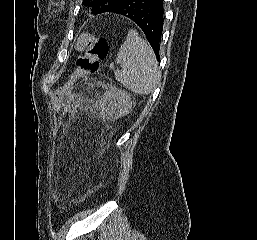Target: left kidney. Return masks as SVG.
<instances>
[{
    "label": "left kidney",
    "instance_id": "5707ae66",
    "mask_svg": "<svg viewBox=\"0 0 257 240\" xmlns=\"http://www.w3.org/2000/svg\"><path fill=\"white\" fill-rule=\"evenodd\" d=\"M103 102L105 106L103 109H105L106 112L111 111L110 114L114 113V117H119L125 114L131 107L130 96L123 91H114L109 95H106V97L103 99Z\"/></svg>",
    "mask_w": 257,
    "mask_h": 240
}]
</instances>
